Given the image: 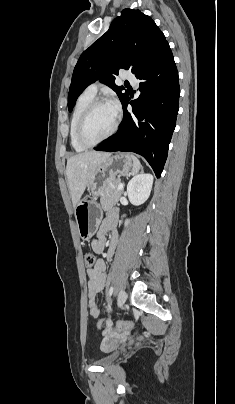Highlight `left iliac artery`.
Masks as SVG:
<instances>
[{
    "mask_svg": "<svg viewBox=\"0 0 235 404\" xmlns=\"http://www.w3.org/2000/svg\"><path fill=\"white\" fill-rule=\"evenodd\" d=\"M113 291H114V287L111 286V287L109 288V292H108L109 297H111V295L113 294Z\"/></svg>",
    "mask_w": 235,
    "mask_h": 404,
    "instance_id": "44dca946",
    "label": "left iliac artery"
}]
</instances>
